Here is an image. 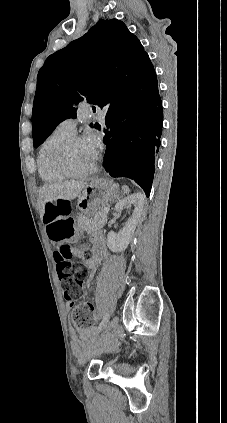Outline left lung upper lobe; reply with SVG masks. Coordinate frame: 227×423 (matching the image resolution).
Instances as JSON below:
<instances>
[{
	"label": "left lung upper lobe",
	"mask_w": 227,
	"mask_h": 423,
	"mask_svg": "<svg viewBox=\"0 0 227 423\" xmlns=\"http://www.w3.org/2000/svg\"><path fill=\"white\" fill-rule=\"evenodd\" d=\"M154 71L139 39L117 19L100 20L83 37L51 54L37 75L32 134L38 147L79 102L127 109ZM93 126V125H91ZM95 127L100 129L96 123Z\"/></svg>",
	"instance_id": "obj_1"
}]
</instances>
